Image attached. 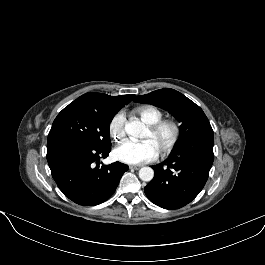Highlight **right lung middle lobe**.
Instances as JSON below:
<instances>
[{"mask_svg": "<svg viewBox=\"0 0 265 265\" xmlns=\"http://www.w3.org/2000/svg\"><path fill=\"white\" fill-rule=\"evenodd\" d=\"M113 116L85 105L69 104L54 120L48 140L70 137L97 148L111 147L109 128Z\"/></svg>", "mask_w": 265, "mask_h": 265, "instance_id": "obj_1", "label": "right lung middle lobe"}]
</instances>
